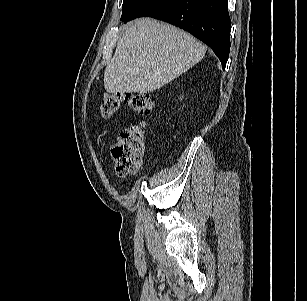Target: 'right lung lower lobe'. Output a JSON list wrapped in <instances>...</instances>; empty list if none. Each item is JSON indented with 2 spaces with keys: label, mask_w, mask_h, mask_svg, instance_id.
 <instances>
[{
  "label": "right lung lower lobe",
  "mask_w": 307,
  "mask_h": 301,
  "mask_svg": "<svg viewBox=\"0 0 307 301\" xmlns=\"http://www.w3.org/2000/svg\"><path fill=\"white\" fill-rule=\"evenodd\" d=\"M178 26L210 46L225 69L230 51L228 0H162L139 17Z\"/></svg>",
  "instance_id": "1"
}]
</instances>
